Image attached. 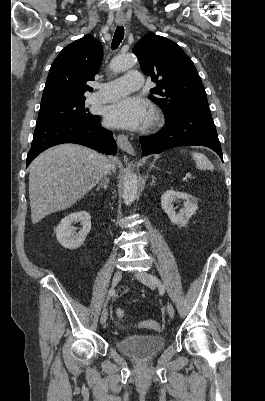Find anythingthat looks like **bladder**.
<instances>
[{"instance_id":"1","label":"bladder","mask_w":265,"mask_h":401,"mask_svg":"<svg viewBox=\"0 0 265 401\" xmlns=\"http://www.w3.org/2000/svg\"><path fill=\"white\" fill-rule=\"evenodd\" d=\"M118 351L139 359L157 355L164 348L165 338L159 336H131L113 341Z\"/></svg>"}]
</instances>
